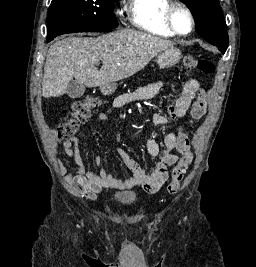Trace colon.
I'll return each instance as SVG.
<instances>
[{
	"instance_id": "colon-1",
	"label": "colon",
	"mask_w": 256,
	"mask_h": 267,
	"mask_svg": "<svg viewBox=\"0 0 256 267\" xmlns=\"http://www.w3.org/2000/svg\"><path fill=\"white\" fill-rule=\"evenodd\" d=\"M183 71L191 73L199 70L201 73L210 75L214 72L215 66L208 58H195L186 56L183 59ZM99 101L94 97H87L76 101L67 114V118L59 123L57 134L60 140H69L74 137L79 127L87 120L89 115L98 106ZM207 108V100L203 91H199L194 98L190 110V121L196 122L203 118ZM177 147L182 157L172 172V181L167 186L170 194L177 192L180 184L184 179L185 172L192 162V152L190 149L189 139L184 128L179 131Z\"/></svg>"
}]
</instances>
